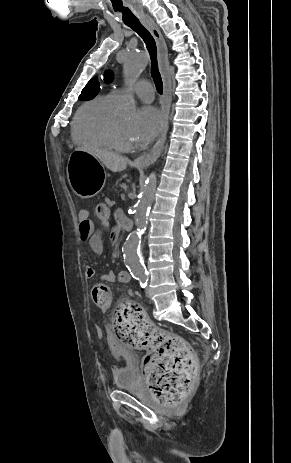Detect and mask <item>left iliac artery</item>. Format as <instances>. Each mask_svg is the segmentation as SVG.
I'll use <instances>...</instances> for the list:
<instances>
[{
	"label": "left iliac artery",
	"mask_w": 291,
	"mask_h": 463,
	"mask_svg": "<svg viewBox=\"0 0 291 463\" xmlns=\"http://www.w3.org/2000/svg\"><path fill=\"white\" fill-rule=\"evenodd\" d=\"M138 280H139L140 286L142 288H145L147 286V281H148L147 277H140V278H138Z\"/></svg>",
	"instance_id": "obj_1"
}]
</instances>
